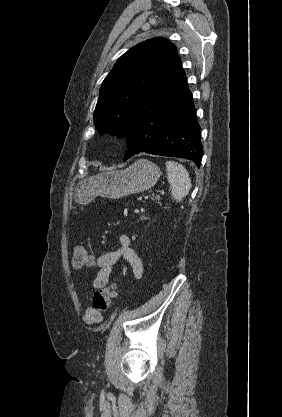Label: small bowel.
<instances>
[{"instance_id":"1","label":"small bowel","mask_w":282,"mask_h":417,"mask_svg":"<svg viewBox=\"0 0 282 417\" xmlns=\"http://www.w3.org/2000/svg\"><path fill=\"white\" fill-rule=\"evenodd\" d=\"M120 258H124L131 266L134 280H141L144 274L143 262L131 248L128 235L120 233L118 235L117 247L100 255L93 261V264L98 269L93 279V287L95 289H102L107 285L111 272ZM83 319L85 323L92 325L100 323L103 316L101 312H97L92 307H88L84 313Z\"/></svg>"}]
</instances>
